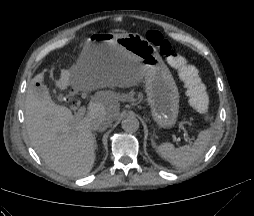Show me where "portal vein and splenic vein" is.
Masks as SVG:
<instances>
[{
	"label": "portal vein and splenic vein",
	"instance_id": "1",
	"mask_svg": "<svg viewBox=\"0 0 254 216\" xmlns=\"http://www.w3.org/2000/svg\"><path fill=\"white\" fill-rule=\"evenodd\" d=\"M85 112H86V108L85 107H80L78 109V112H77V118L81 119L84 116ZM182 129H183V136H184L185 140L188 143H192V140H194V138L193 137H189L187 131L184 128H182Z\"/></svg>",
	"mask_w": 254,
	"mask_h": 216
}]
</instances>
